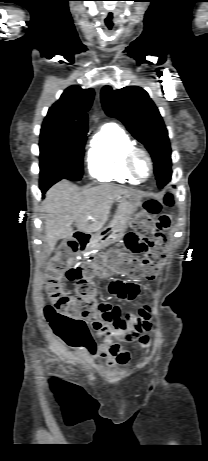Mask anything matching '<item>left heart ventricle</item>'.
<instances>
[{
	"mask_svg": "<svg viewBox=\"0 0 208 461\" xmlns=\"http://www.w3.org/2000/svg\"><path fill=\"white\" fill-rule=\"evenodd\" d=\"M136 167L138 171L142 174L145 175L147 173V162L143 157H138L136 162Z\"/></svg>",
	"mask_w": 208,
	"mask_h": 461,
	"instance_id": "b2bd125f",
	"label": "left heart ventricle"
}]
</instances>
